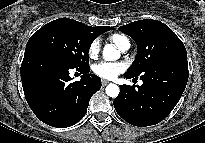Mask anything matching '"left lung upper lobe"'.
Returning a JSON list of instances; mask_svg holds the SVG:
<instances>
[{"label": "left lung upper lobe", "instance_id": "left-lung-upper-lobe-1", "mask_svg": "<svg viewBox=\"0 0 205 143\" xmlns=\"http://www.w3.org/2000/svg\"><path fill=\"white\" fill-rule=\"evenodd\" d=\"M131 36L137 44V55L128 76L137 77L155 63L176 56H187L186 49L177 35L164 23L157 20H139L119 28Z\"/></svg>", "mask_w": 205, "mask_h": 143}]
</instances>
